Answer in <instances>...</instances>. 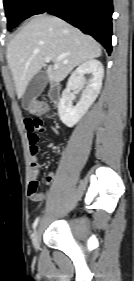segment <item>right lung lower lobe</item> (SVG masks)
<instances>
[{"label":"right lung lower lobe","mask_w":134,"mask_h":281,"mask_svg":"<svg viewBox=\"0 0 134 281\" xmlns=\"http://www.w3.org/2000/svg\"><path fill=\"white\" fill-rule=\"evenodd\" d=\"M47 12L55 15L99 41L112 51V0H37L30 16ZM29 16V17H30Z\"/></svg>","instance_id":"right-lung-lower-lobe-1"}]
</instances>
